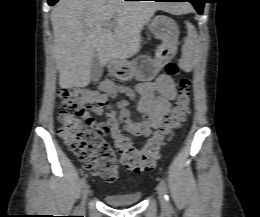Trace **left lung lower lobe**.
I'll use <instances>...</instances> for the list:
<instances>
[{"label": "left lung lower lobe", "instance_id": "0a47b994", "mask_svg": "<svg viewBox=\"0 0 260 217\" xmlns=\"http://www.w3.org/2000/svg\"><path fill=\"white\" fill-rule=\"evenodd\" d=\"M154 1H170V2H191L199 14L203 13L204 0H154Z\"/></svg>", "mask_w": 260, "mask_h": 217}]
</instances>
